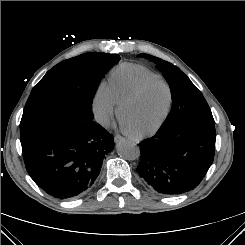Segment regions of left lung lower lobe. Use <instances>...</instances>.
<instances>
[{"label": "left lung lower lobe", "mask_w": 245, "mask_h": 245, "mask_svg": "<svg viewBox=\"0 0 245 245\" xmlns=\"http://www.w3.org/2000/svg\"><path fill=\"white\" fill-rule=\"evenodd\" d=\"M215 123L183 117L143 140L139 175L157 192L178 195L195 188L214 159Z\"/></svg>", "instance_id": "1"}]
</instances>
